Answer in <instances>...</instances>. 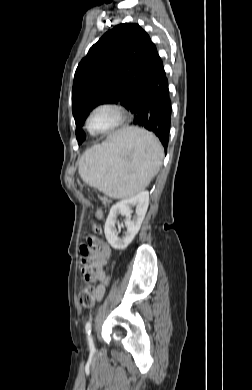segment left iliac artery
I'll list each match as a JSON object with an SVG mask.
<instances>
[{"instance_id": "1", "label": "left iliac artery", "mask_w": 252, "mask_h": 390, "mask_svg": "<svg viewBox=\"0 0 252 390\" xmlns=\"http://www.w3.org/2000/svg\"><path fill=\"white\" fill-rule=\"evenodd\" d=\"M85 331H86V335H87V340H88V344H89V348L91 351H94L95 348H94V343H93V339L91 337V322H87L86 325H85Z\"/></svg>"}]
</instances>
